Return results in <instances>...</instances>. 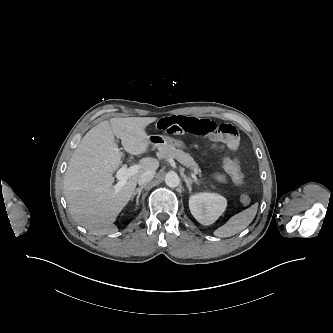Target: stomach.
<instances>
[{"mask_svg": "<svg viewBox=\"0 0 333 333\" xmlns=\"http://www.w3.org/2000/svg\"><path fill=\"white\" fill-rule=\"evenodd\" d=\"M151 144L156 148L166 147L172 145L174 147H183L184 144L180 140H175L170 136H163V135H153L150 136Z\"/></svg>", "mask_w": 333, "mask_h": 333, "instance_id": "1", "label": "stomach"}]
</instances>
